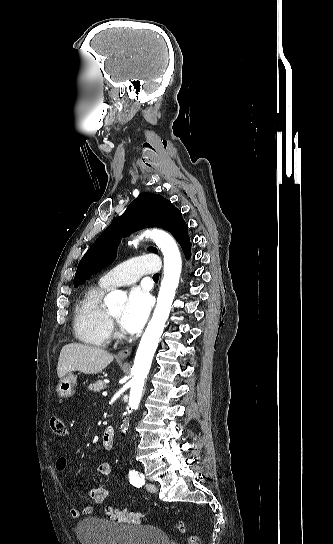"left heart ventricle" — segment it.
I'll return each mask as SVG.
<instances>
[{
  "label": "left heart ventricle",
  "instance_id": "1",
  "mask_svg": "<svg viewBox=\"0 0 333 544\" xmlns=\"http://www.w3.org/2000/svg\"><path fill=\"white\" fill-rule=\"evenodd\" d=\"M122 308H118L111 312V315L118 319L121 316Z\"/></svg>",
  "mask_w": 333,
  "mask_h": 544
}]
</instances>
